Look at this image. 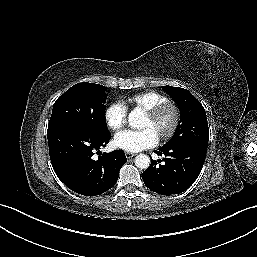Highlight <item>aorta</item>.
I'll return each instance as SVG.
<instances>
[{
  "mask_svg": "<svg viewBox=\"0 0 257 257\" xmlns=\"http://www.w3.org/2000/svg\"><path fill=\"white\" fill-rule=\"evenodd\" d=\"M142 121V114L136 110L128 116L129 125L133 128H139ZM135 165L140 169H147L150 166V158L145 154H139L135 157Z\"/></svg>",
  "mask_w": 257,
  "mask_h": 257,
  "instance_id": "obj_1",
  "label": "aorta"
}]
</instances>
